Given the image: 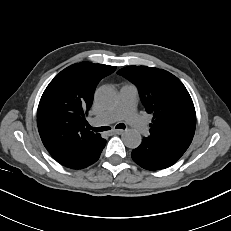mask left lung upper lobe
<instances>
[{
  "mask_svg": "<svg viewBox=\"0 0 231 231\" xmlns=\"http://www.w3.org/2000/svg\"><path fill=\"white\" fill-rule=\"evenodd\" d=\"M117 73L137 86L142 104L153 115L149 137L186 151L195 133L196 113L182 82L166 70L147 66H128Z\"/></svg>",
  "mask_w": 231,
  "mask_h": 231,
  "instance_id": "obj_1",
  "label": "left lung upper lobe"
}]
</instances>
